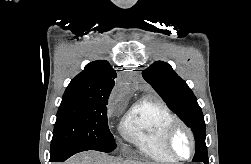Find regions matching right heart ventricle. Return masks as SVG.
I'll return each mask as SVG.
<instances>
[{"instance_id": "1", "label": "right heart ventricle", "mask_w": 251, "mask_h": 164, "mask_svg": "<svg viewBox=\"0 0 251 164\" xmlns=\"http://www.w3.org/2000/svg\"><path fill=\"white\" fill-rule=\"evenodd\" d=\"M176 117L169 107L157 100L144 98L137 101L124 116L120 132L143 155L160 163L174 162L164 151L162 137L165 128Z\"/></svg>"}]
</instances>
